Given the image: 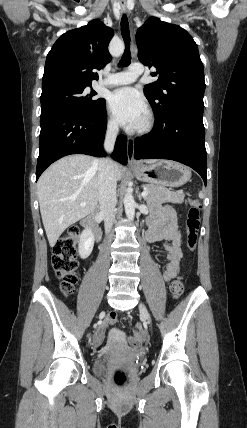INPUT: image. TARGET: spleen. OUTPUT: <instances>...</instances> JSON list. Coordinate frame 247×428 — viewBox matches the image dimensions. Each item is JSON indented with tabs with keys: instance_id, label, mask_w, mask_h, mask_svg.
I'll return each mask as SVG.
<instances>
[{
	"instance_id": "spleen-1",
	"label": "spleen",
	"mask_w": 247,
	"mask_h": 428,
	"mask_svg": "<svg viewBox=\"0 0 247 428\" xmlns=\"http://www.w3.org/2000/svg\"><path fill=\"white\" fill-rule=\"evenodd\" d=\"M199 197L202 198L203 197V193L199 192Z\"/></svg>"
}]
</instances>
